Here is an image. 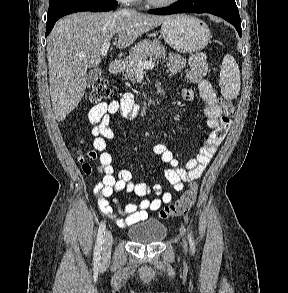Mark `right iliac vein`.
<instances>
[{
    "mask_svg": "<svg viewBox=\"0 0 288 293\" xmlns=\"http://www.w3.org/2000/svg\"><path fill=\"white\" fill-rule=\"evenodd\" d=\"M112 242H113L112 234L111 232L107 231L104 237V242H103V250H102L103 261L108 260V258L110 257Z\"/></svg>",
    "mask_w": 288,
    "mask_h": 293,
    "instance_id": "right-iliac-vein-1",
    "label": "right iliac vein"
}]
</instances>
